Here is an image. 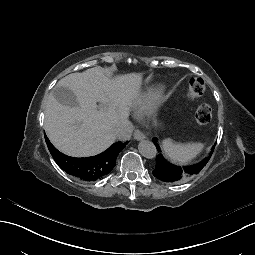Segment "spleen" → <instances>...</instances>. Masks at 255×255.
Wrapping results in <instances>:
<instances>
[{
    "mask_svg": "<svg viewBox=\"0 0 255 255\" xmlns=\"http://www.w3.org/2000/svg\"><path fill=\"white\" fill-rule=\"evenodd\" d=\"M164 149L171 158H176L180 162H187L195 157L202 149L199 142H176L168 139L164 142Z\"/></svg>",
    "mask_w": 255,
    "mask_h": 255,
    "instance_id": "3e777b00",
    "label": "spleen"
}]
</instances>
